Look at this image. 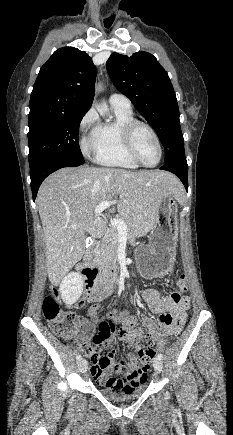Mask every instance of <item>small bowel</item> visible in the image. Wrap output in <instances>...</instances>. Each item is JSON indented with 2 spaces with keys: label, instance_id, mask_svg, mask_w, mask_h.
<instances>
[{
  "label": "small bowel",
  "instance_id": "1",
  "mask_svg": "<svg viewBox=\"0 0 233 435\" xmlns=\"http://www.w3.org/2000/svg\"><path fill=\"white\" fill-rule=\"evenodd\" d=\"M114 285L113 282L110 285V290L113 289ZM176 286L177 290L171 292L169 295L163 294L156 288H147L142 292V297L149 310L159 316L158 322H155L145 315L140 317L141 323L155 336L157 348L166 344L168 339L180 330L187 319L190 297L186 294H181V292L187 289V286H182L179 281H177ZM80 302L76 304L77 307H80ZM96 310L97 307L90 308L92 314L95 313ZM119 316L123 317L124 312L111 318L100 319L97 335L101 337V341L96 344H90L89 342L91 334L96 330L95 325L84 319L78 320L74 332L78 346L80 348L87 346L90 354L95 352L99 353L103 346L111 344L110 339L115 334V324ZM139 337L140 334L137 330L127 328L124 329L119 338L130 345H137ZM140 351L141 349H138V357L133 353L128 354L132 366L138 369L136 377L138 383L143 381L149 372L148 365L140 361ZM90 354L88 356H90ZM107 358L109 360L108 364L94 362L91 368L92 375L98 385H115L116 380L112 377L113 373L131 374L130 369L124 366V361L118 358L113 352H110ZM138 361L140 362L139 366H137Z\"/></svg>",
  "mask_w": 233,
  "mask_h": 435
}]
</instances>
